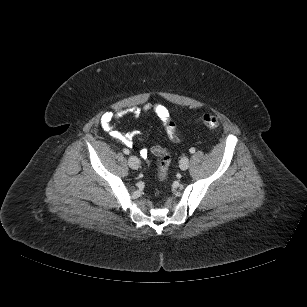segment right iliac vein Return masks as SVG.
I'll return each mask as SVG.
<instances>
[{
	"instance_id": "right-iliac-vein-1",
	"label": "right iliac vein",
	"mask_w": 307,
	"mask_h": 307,
	"mask_svg": "<svg viewBox=\"0 0 307 307\" xmlns=\"http://www.w3.org/2000/svg\"><path fill=\"white\" fill-rule=\"evenodd\" d=\"M128 165L132 168V169H138L139 165H140V161L137 157L135 156H130L128 158Z\"/></svg>"
}]
</instances>
